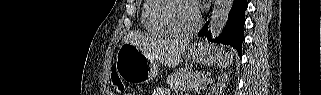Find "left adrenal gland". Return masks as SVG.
I'll return each instance as SVG.
<instances>
[{"label": "left adrenal gland", "mask_w": 321, "mask_h": 95, "mask_svg": "<svg viewBox=\"0 0 321 95\" xmlns=\"http://www.w3.org/2000/svg\"><path fill=\"white\" fill-rule=\"evenodd\" d=\"M227 82V80H223L222 79V83H221V80L219 81L218 80V82H217V90L219 89V87H220V90L225 86V83ZM214 90L216 89V85H214V88H213Z\"/></svg>", "instance_id": "obj_1"}]
</instances>
